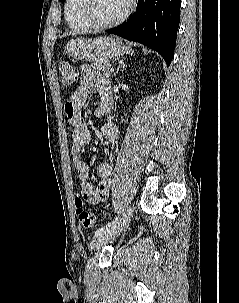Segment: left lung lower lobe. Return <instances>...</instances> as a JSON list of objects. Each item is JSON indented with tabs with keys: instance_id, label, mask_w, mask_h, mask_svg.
I'll use <instances>...</instances> for the list:
<instances>
[{
	"instance_id": "left-lung-lower-lobe-1",
	"label": "left lung lower lobe",
	"mask_w": 239,
	"mask_h": 303,
	"mask_svg": "<svg viewBox=\"0 0 239 303\" xmlns=\"http://www.w3.org/2000/svg\"><path fill=\"white\" fill-rule=\"evenodd\" d=\"M181 0H138L134 15L106 30L157 51L169 66L174 56Z\"/></svg>"
}]
</instances>
